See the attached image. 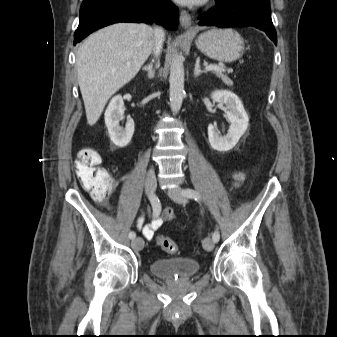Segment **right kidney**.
<instances>
[{
	"label": "right kidney",
	"mask_w": 337,
	"mask_h": 337,
	"mask_svg": "<svg viewBox=\"0 0 337 337\" xmlns=\"http://www.w3.org/2000/svg\"><path fill=\"white\" fill-rule=\"evenodd\" d=\"M124 119V102L121 95L113 97L105 111V124L111 141L119 148L128 145L134 133V121L127 119L125 128L119 125Z\"/></svg>",
	"instance_id": "1"
}]
</instances>
